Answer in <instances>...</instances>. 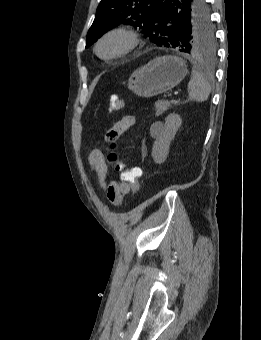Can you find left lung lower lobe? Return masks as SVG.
I'll use <instances>...</instances> for the list:
<instances>
[{"label":"left lung lower lobe","instance_id":"obj_1","mask_svg":"<svg viewBox=\"0 0 261 340\" xmlns=\"http://www.w3.org/2000/svg\"><path fill=\"white\" fill-rule=\"evenodd\" d=\"M201 2L195 0H165L159 17L165 22L168 21L171 24H175L179 22L181 17L190 18L194 7Z\"/></svg>","mask_w":261,"mask_h":340}]
</instances>
